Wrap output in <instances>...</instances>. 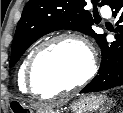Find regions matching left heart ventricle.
Returning <instances> with one entry per match:
<instances>
[{"label": "left heart ventricle", "mask_w": 123, "mask_h": 113, "mask_svg": "<svg viewBox=\"0 0 123 113\" xmlns=\"http://www.w3.org/2000/svg\"><path fill=\"white\" fill-rule=\"evenodd\" d=\"M89 61L85 50L74 41H61L46 49L34 66V80L42 93L70 86L87 71Z\"/></svg>", "instance_id": "obj_1"}]
</instances>
